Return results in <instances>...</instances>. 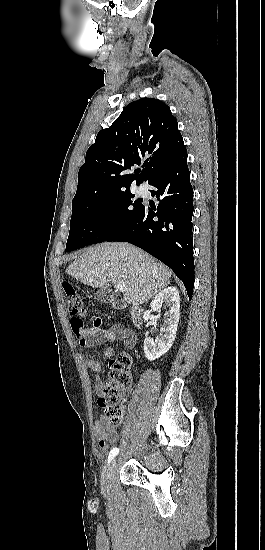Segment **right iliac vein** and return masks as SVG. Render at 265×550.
Returning <instances> with one entry per match:
<instances>
[{
	"label": "right iliac vein",
	"mask_w": 265,
	"mask_h": 550,
	"mask_svg": "<svg viewBox=\"0 0 265 550\" xmlns=\"http://www.w3.org/2000/svg\"><path fill=\"white\" fill-rule=\"evenodd\" d=\"M115 468H116V459H113L107 465V467L104 469V471L102 473V486L103 487L108 486V484H109V482H110V480L113 476Z\"/></svg>",
	"instance_id": "1"
}]
</instances>
